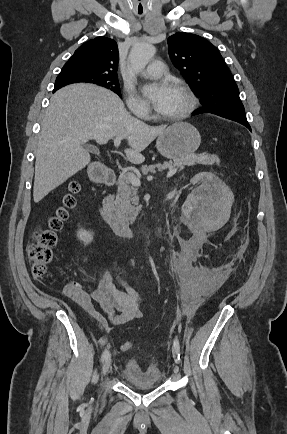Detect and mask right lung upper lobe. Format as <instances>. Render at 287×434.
I'll return each instance as SVG.
<instances>
[{
    "mask_svg": "<svg viewBox=\"0 0 287 434\" xmlns=\"http://www.w3.org/2000/svg\"><path fill=\"white\" fill-rule=\"evenodd\" d=\"M119 53L115 40L101 36L80 46L63 68L117 77ZM55 86L53 92L60 89Z\"/></svg>",
    "mask_w": 287,
    "mask_h": 434,
    "instance_id": "cb5924a9",
    "label": "right lung upper lobe"
}]
</instances>
